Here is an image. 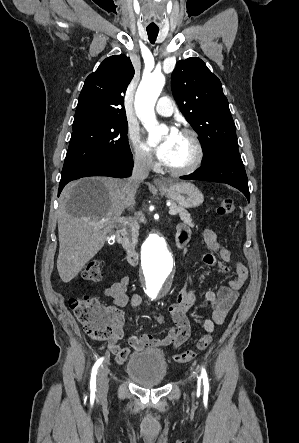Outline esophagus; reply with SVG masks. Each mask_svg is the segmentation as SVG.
Returning <instances> with one entry per match:
<instances>
[{
	"label": "esophagus",
	"mask_w": 299,
	"mask_h": 443,
	"mask_svg": "<svg viewBox=\"0 0 299 443\" xmlns=\"http://www.w3.org/2000/svg\"><path fill=\"white\" fill-rule=\"evenodd\" d=\"M153 183L156 185V186H161V185H164V181L162 180V179H160V178H155L154 180H153Z\"/></svg>",
	"instance_id": "1"
}]
</instances>
